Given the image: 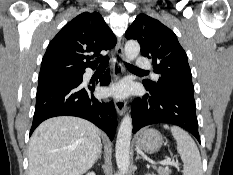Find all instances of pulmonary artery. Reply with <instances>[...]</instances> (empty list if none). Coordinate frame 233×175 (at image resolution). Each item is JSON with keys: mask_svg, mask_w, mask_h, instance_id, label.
<instances>
[{"mask_svg": "<svg viewBox=\"0 0 233 175\" xmlns=\"http://www.w3.org/2000/svg\"><path fill=\"white\" fill-rule=\"evenodd\" d=\"M136 66L139 69H145V70L151 69V63L148 60L142 58L136 59ZM154 77L157 79L158 75L154 74Z\"/></svg>", "mask_w": 233, "mask_h": 175, "instance_id": "obj_1", "label": "pulmonary artery"}]
</instances>
